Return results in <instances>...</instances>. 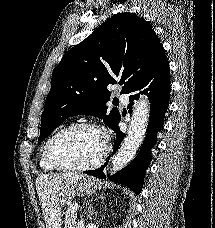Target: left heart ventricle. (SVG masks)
I'll return each instance as SVG.
<instances>
[{
  "mask_svg": "<svg viewBox=\"0 0 215 228\" xmlns=\"http://www.w3.org/2000/svg\"><path fill=\"white\" fill-rule=\"evenodd\" d=\"M105 139L102 134L78 128L62 135L53 149L54 159L63 165L81 166L95 161L102 153Z\"/></svg>",
  "mask_w": 215,
  "mask_h": 228,
  "instance_id": "1",
  "label": "left heart ventricle"
}]
</instances>
